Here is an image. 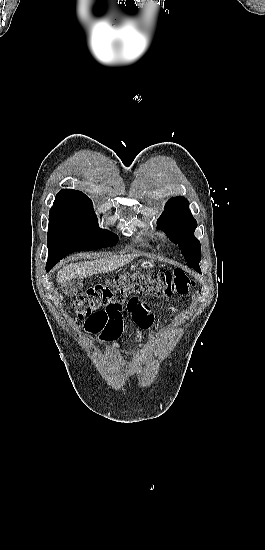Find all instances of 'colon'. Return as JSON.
Segmentation results:
<instances>
[{
    "mask_svg": "<svg viewBox=\"0 0 265 550\" xmlns=\"http://www.w3.org/2000/svg\"><path fill=\"white\" fill-rule=\"evenodd\" d=\"M193 280L181 269L153 270L148 272L122 273L108 284L96 283L86 288L74 301L73 309L79 320L87 318L89 329L106 337L117 335L118 319L127 310L134 323L144 328L152 324L133 310L141 305L138 300L123 301L132 295L147 297H170L186 293Z\"/></svg>",
    "mask_w": 265,
    "mask_h": 550,
    "instance_id": "5ec220e1",
    "label": "colon"
}]
</instances>
